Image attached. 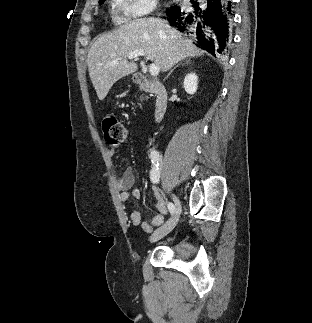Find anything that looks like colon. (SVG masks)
Instances as JSON below:
<instances>
[{
	"label": "colon",
	"instance_id": "colon-1",
	"mask_svg": "<svg viewBox=\"0 0 312 323\" xmlns=\"http://www.w3.org/2000/svg\"><path fill=\"white\" fill-rule=\"evenodd\" d=\"M104 139L109 145L123 142L127 135V129L122 121L113 115L106 116L101 123Z\"/></svg>",
	"mask_w": 312,
	"mask_h": 323
}]
</instances>
